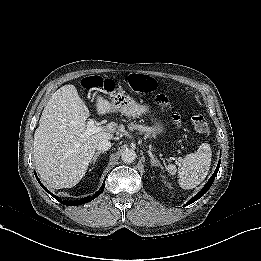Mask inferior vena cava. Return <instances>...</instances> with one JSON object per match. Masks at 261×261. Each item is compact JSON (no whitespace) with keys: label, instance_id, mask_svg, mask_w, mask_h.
<instances>
[{"label":"inferior vena cava","instance_id":"inferior-vena-cava-1","mask_svg":"<svg viewBox=\"0 0 261 261\" xmlns=\"http://www.w3.org/2000/svg\"><path fill=\"white\" fill-rule=\"evenodd\" d=\"M95 148L98 151H107L111 148V142L108 139L102 138L96 143Z\"/></svg>","mask_w":261,"mask_h":261}]
</instances>
